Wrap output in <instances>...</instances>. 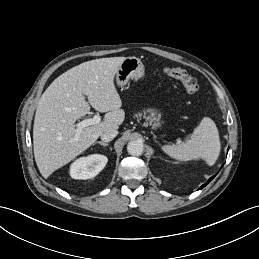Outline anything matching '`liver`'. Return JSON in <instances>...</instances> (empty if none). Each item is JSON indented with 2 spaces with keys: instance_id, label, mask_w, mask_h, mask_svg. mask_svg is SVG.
<instances>
[{
  "instance_id": "obj_1",
  "label": "liver",
  "mask_w": 259,
  "mask_h": 259,
  "mask_svg": "<svg viewBox=\"0 0 259 259\" xmlns=\"http://www.w3.org/2000/svg\"><path fill=\"white\" fill-rule=\"evenodd\" d=\"M124 60L111 57L81 63L45 90L33 126L34 157L44 178L84 152L104 131L117 130L122 124L125 112L114 77ZM89 103L96 111L107 113L101 123L83 128L75 140V121L89 114Z\"/></svg>"
}]
</instances>
